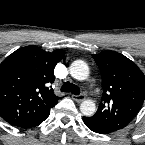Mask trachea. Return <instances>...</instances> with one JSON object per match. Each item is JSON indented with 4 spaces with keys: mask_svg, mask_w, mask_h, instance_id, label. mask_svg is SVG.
Listing matches in <instances>:
<instances>
[{
    "mask_svg": "<svg viewBox=\"0 0 145 145\" xmlns=\"http://www.w3.org/2000/svg\"><path fill=\"white\" fill-rule=\"evenodd\" d=\"M61 91L62 92H71L72 94H75V95L80 94V88L77 85L70 83V82H65L61 87Z\"/></svg>",
    "mask_w": 145,
    "mask_h": 145,
    "instance_id": "trachea-1",
    "label": "trachea"
}]
</instances>
